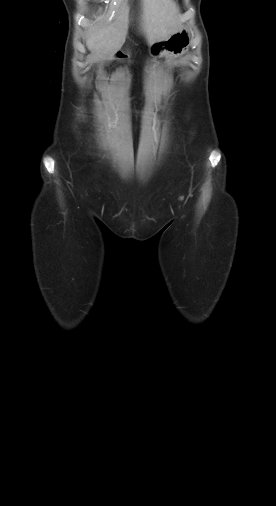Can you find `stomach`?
<instances>
[{
    "instance_id": "obj_1",
    "label": "stomach",
    "mask_w": 276,
    "mask_h": 506,
    "mask_svg": "<svg viewBox=\"0 0 276 506\" xmlns=\"http://www.w3.org/2000/svg\"><path fill=\"white\" fill-rule=\"evenodd\" d=\"M191 45V35L187 29L181 28L166 39L155 41L150 46L153 57L170 54L177 57L183 54Z\"/></svg>"
}]
</instances>
